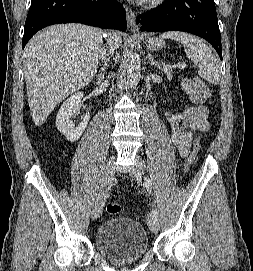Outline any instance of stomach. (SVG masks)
<instances>
[{
	"label": "stomach",
	"mask_w": 253,
	"mask_h": 271,
	"mask_svg": "<svg viewBox=\"0 0 253 271\" xmlns=\"http://www.w3.org/2000/svg\"><path fill=\"white\" fill-rule=\"evenodd\" d=\"M145 45L149 50L156 51L163 48L164 41L157 37H147Z\"/></svg>",
	"instance_id": "stomach-1"
}]
</instances>
